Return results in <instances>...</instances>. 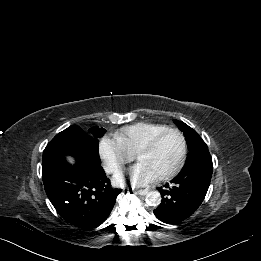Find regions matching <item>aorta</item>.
Segmentation results:
<instances>
[{
	"mask_svg": "<svg viewBox=\"0 0 261 261\" xmlns=\"http://www.w3.org/2000/svg\"><path fill=\"white\" fill-rule=\"evenodd\" d=\"M146 202L150 206H158L161 203V195L158 191H150L146 195Z\"/></svg>",
	"mask_w": 261,
	"mask_h": 261,
	"instance_id": "762f6f07",
	"label": "aorta"
}]
</instances>
